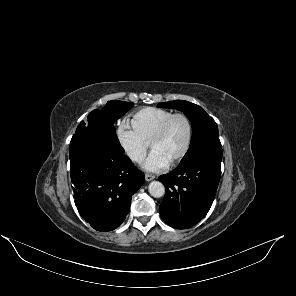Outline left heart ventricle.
Masks as SVG:
<instances>
[{
  "label": "left heart ventricle",
  "instance_id": "left-heart-ventricle-1",
  "mask_svg": "<svg viewBox=\"0 0 296 296\" xmlns=\"http://www.w3.org/2000/svg\"><path fill=\"white\" fill-rule=\"evenodd\" d=\"M188 128L183 118H176L170 124L164 138L158 142L153 151L160 153L169 163L175 160L184 149Z\"/></svg>",
  "mask_w": 296,
  "mask_h": 296
}]
</instances>
